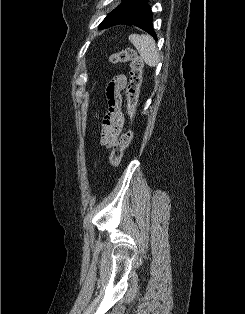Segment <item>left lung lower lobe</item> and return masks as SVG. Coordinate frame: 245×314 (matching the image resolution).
Instances as JSON below:
<instances>
[{
  "label": "left lung lower lobe",
  "instance_id": "0a47b994",
  "mask_svg": "<svg viewBox=\"0 0 245 314\" xmlns=\"http://www.w3.org/2000/svg\"><path fill=\"white\" fill-rule=\"evenodd\" d=\"M128 24H133L145 30L155 39H157L156 34L153 31L151 8L148 6L147 2L145 3L141 11Z\"/></svg>",
  "mask_w": 245,
  "mask_h": 314
}]
</instances>
